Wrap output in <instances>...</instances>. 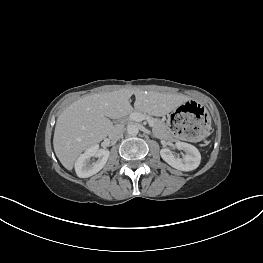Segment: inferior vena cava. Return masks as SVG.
Segmentation results:
<instances>
[{"label":"inferior vena cava","mask_w":263,"mask_h":263,"mask_svg":"<svg viewBox=\"0 0 263 263\" xmlns=\"http://www.w3.org/2000/svg\"><path fill=\"white\" fill-rule=\"evenodd\" d=\"M108 136L111 140L120 139L123 136V127L120 125L114 126Z\"/></svg>","instance_id":"inferior-vena-cava-1"}]
</instances>
